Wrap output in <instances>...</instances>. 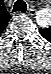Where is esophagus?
Wrapping results in <instances>:
<instances>
[{
    "label": "esophagus",
    "mask_w": 51,
    "mask_h": 74,
    "mask_svg": "<svg viewBox=\"0 0 51 74\" xmlns=\"http://www.w3.org/2000/svg\"><path fill=\"white\" fill-rule=\"evenodd\" d=\"M34 10H29L28 12L29 13H31L32 15L34 14V12H33Z\"/></svg>",
    "instance_id": "obj_1"
}]
</instances>
